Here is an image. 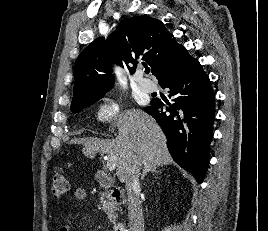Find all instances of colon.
<instances>
[{
    "mask_svg": "<svg viewBox=\"0 0 268 231\" xmlns=\"http://www.w3.org/2000/svg\"><path fill=\"white\" fill-rule=\"evenodd\" d=\"M70 192L69 182L62 172H56L51 182V195L57 199H63Z\"/></svg>",
    "mask_w": 268,
    "mask_h": 231,
    "instance_id": "obj_1",
    "label": "colon"
}]
</instances>
